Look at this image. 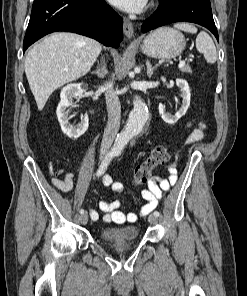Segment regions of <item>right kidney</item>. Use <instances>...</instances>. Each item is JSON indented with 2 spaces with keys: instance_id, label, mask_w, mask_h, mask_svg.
<instances>
[{
  "instance_id": "1",
  "label": "right kidney",
  "mask_w": 247,
  "mask_h": 296,
  "mask_svg": "<svg viewBox=\"0 0 247 296\" xmlns=\"http://www.w3.org/2000/svg\"><path fill=\"white\" fill-rule=\"evenodd\" d=\"M84 88H82V83H71L63 87L60 94V103L58 104L56 114L58 121L60 123L62 132L71 139H77L83 135L89 126L88 115L81 117V121L73 126L69 123V110L68 107L74 106V99H79L82 97Z\"/></svg>"
}]
</instances>
